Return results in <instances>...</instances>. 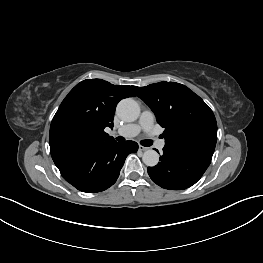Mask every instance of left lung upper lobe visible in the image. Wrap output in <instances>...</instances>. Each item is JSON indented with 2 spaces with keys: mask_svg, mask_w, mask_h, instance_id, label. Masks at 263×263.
<instances>
[{
  "mask_svg": "<svg viewBox=\"0 0 263 263\" xmlns=\"http://www.w3.org/2000/svg\"><path fill=\"white\" fill-rule=\"evenodd\" d=\"M133 89L165 128L164 148L211 161L217 123L212 110L198 95L176 82L133 86Z\"/></svg>",
  "mask_w": 263,
  "mask_h": 263,
  "instance_id": "5c2ea615",
  "label": "left lung upper lobe"
}]
</instances>
